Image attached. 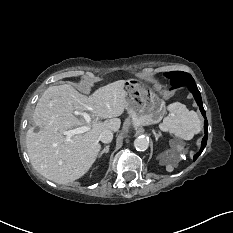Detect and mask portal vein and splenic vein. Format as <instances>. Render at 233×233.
Instances as JSON below:
<instances>
[{
  "label": "portal vein and splenic vein",
  "mask_w": 233,
  "mask_h": 233,
  "mask_svg": "<svg viewBox=\"0 0 233 233\" xmlns=\"http://www.w3.org/2000/svg\"><path fill=\"white\" fill-rule=\"evenodd\" d=\"M75 114L83 116V118L85 119V121L87 122V124L91 123V118H90V115L88 113H85V112H75ZM89 129L90 128L88 126H82V127L75 128L73 130L63 131L62 133L64 135H66L67 140H69L73 135L87 132Z\"/></svg>",
  "instance_id": "18ae733b"
}]
</instances>
